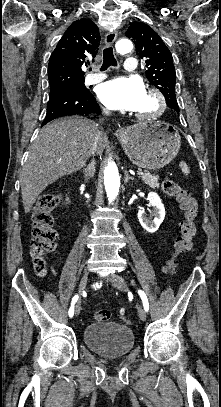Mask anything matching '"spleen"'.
Masks as SVG:
<instances>
[{
	"instance_id": "1",
	"label": "spleen",
	"mask_w": 221,
	"mask_h": 407,
	"mask_svg": "<svg viewBox=\"0 0 221 407\" xmlns=\"http://www.w3.org/2000/svg\"><path fill=\"white\" fill-rule=\"evenodd\" d=\"M179 166L181 167L182 173L184 175H188L190 173V170H189L187 164L184 161H181Z\"/></svg>"
}]
</instances>
